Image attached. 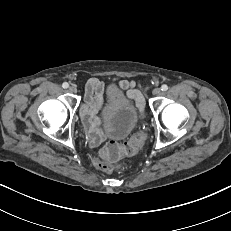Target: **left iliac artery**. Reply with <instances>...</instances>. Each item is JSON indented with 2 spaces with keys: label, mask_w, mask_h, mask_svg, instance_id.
<instances>
[{
  "label": "left iliac artery",
  "mask_w": 231,
  "mask_h": 231,
  "mask_svg": "<svg viewBox=\"0 0 231 231\" xmlns=\"http://www.w3.org/2000/svg\"><path fill=\"white\" fill-rule=\"evenodd\" d=\"M161 90H162V91H167V90H168V86H167L166 84H163V85L161 86Z\"/></svg>",
  "instance_id": "obj_1"
}]
</instances>
